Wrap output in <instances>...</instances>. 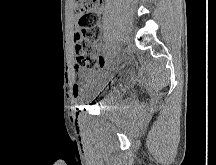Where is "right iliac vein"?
I'll list each match as a JSON object with an SVG mask.
<instances>
[{
	"mask_svg": "<svg viewBox=\"0 0 216 165\" xmlns=\"http://www.w3.org/2000/svg\"><path fill=\"white\" fill-rule=\"evenodd\" d=\"M120 42H121V39L118 41L117 45L115 46L113 55H117L119 53V51H120Z\"/></svg>",
	"mask_w": 216,
	"mask_h": 165,
	"instance_id": "63e3f726",
	"label": "right iliac vein"
}]
</instances>
